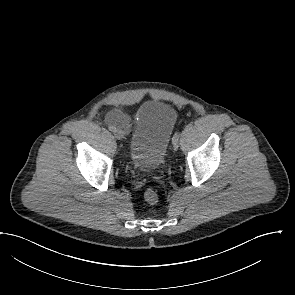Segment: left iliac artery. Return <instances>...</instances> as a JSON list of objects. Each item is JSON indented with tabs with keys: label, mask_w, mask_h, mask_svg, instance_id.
Wrapping results in <instances>:
<instances>
[{
	"label": "left iliac artery",
	"mask_w": 295,
	"mask_h": 295,
	"mask_svg": "<svg viewBox=\"0 0 295 295\" xmlns=\"http://www.w3.org/2000/svg\"><path fill=\"white\" fill-rule=\"evenodd\" d=\"M179 132H175V134L173 135L172 141L178 140L179 139Z\"/></svg>",
	"instance_id": "1"
}]
</instances>
